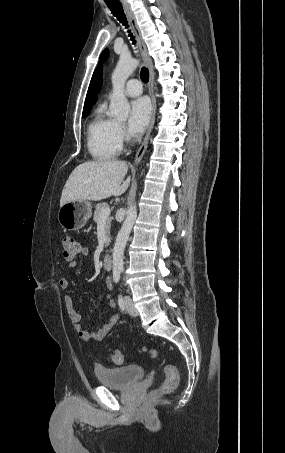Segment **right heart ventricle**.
Returning <instances> with one entry per match:
<instances>
[{"label": "right heart ventricle", "instance_id": "right-heart-ventricle-1", "mask_svg": "<svg viewBox=\"0 0 285 453\" xmlns=\"http://www.w3.org/2000/svg\"><path fill=\"white\" fill-rule=\"evenodd\" d=\"M117 122L105 114V105H99L87 129V147L90 154L98 160H107L119 155L122 142Z\"/></svg>", "mask_w": 285, "mask_h": 453}]
</instances>
